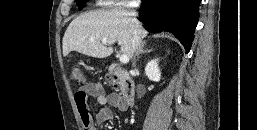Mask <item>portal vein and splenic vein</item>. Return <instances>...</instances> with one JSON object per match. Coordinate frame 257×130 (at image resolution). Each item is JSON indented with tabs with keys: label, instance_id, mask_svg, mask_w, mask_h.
I'll use <instances>...</instances> for the list:
<instances>
[{
	"label": "portal vein and splenic vein",
	"instance_id": "1",
	"mask_svg": "<svg viewBox=\"0 0 257 130\" xmlns=\"http://www.w3.org/2000/svg\"><path fill=\"white\" fill-rule=\"evenodd\" d=\"M103 44H112L113 42L107 41V40H102ZM120 62L122 63H128L129 62V57L127 55H121L119 57Z\"/></svg>",
	"mask_w": 257,
	"mask_h": 130
}]
</instances>
